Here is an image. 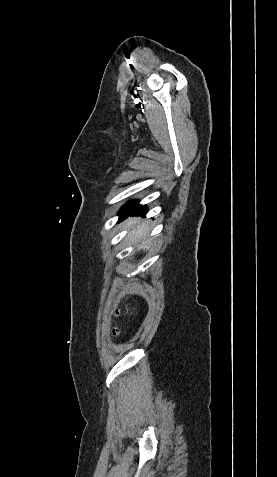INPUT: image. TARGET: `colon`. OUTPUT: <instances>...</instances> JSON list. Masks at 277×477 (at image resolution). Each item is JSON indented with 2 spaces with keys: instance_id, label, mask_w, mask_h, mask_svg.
I'll use <instances>...</instances> for the list:
<instances>
[{
  "instance_id": "5ec220e1",
  "label": "colon",
  "mask_w": 277,
  "mask_h": 477,
  "mask_svg": "<svg viewBox=\"0 0 277 477\" xmlns=\"http://www.w3.org/2000/svg\"><path fill=\"white\" fill-rule=\"evenodd\" d=\"M113 332H114V334H115V333H116V330H114Z\"/></svg>"
}]
</instances>
